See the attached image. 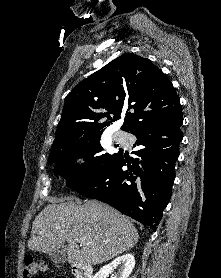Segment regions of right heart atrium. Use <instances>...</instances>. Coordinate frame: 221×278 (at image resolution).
<instances>
[{
	"instance_id": "obj_1",
	"label": "right heart atrium",
	"mask_w": 221,
	"mask_h": 278,
	"mask_svg": "<svg viewBox=\"0 0 221 278\" xmlns=\"http://www.w3.org/2000/svg\"><path fill=\"white\" fill-rule=\"evenodd\" d=\"M89 167L88 160L83 155H76L73 157V168L76 171L85 172Z\"/></svg>"
}]
</instances>
